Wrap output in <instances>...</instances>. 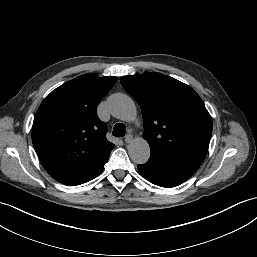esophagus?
Here are the masks:
<instances>
[{
  "label": "esophagus",
  "mask_w": 257,
  "mask_h": 257,
  "mask_svg": "<svg viewBox=\"0 0 257 257\" xmlns=\"http://www.w3.org/2000/svg\"><path fill=\"white\" fill-rule=\"evenodd\" d=\"M132 140H133V136H132L131 134H127V135L125 136L124 141H125L126 143H130Z\"/></svg>",
  "instance_id": "esophagus-1"
}]
</instances>
